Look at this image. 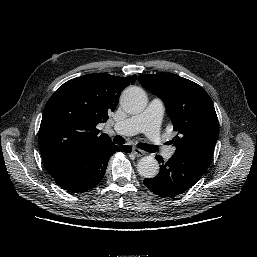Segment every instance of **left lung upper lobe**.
<instances>
[{
  "mask_svg": "<svg viewBox=\"0 0 257 257\" xmlns=\"http://www.w3.org/2000/svg\"><path fill=\"white\" fill-rule=\"evenodd\" d=\"M141 85L161 98L178 132L176 152L209 166L218 139V118L213 102L198 84L172 73L142 74Z\"/></svg>",
  "mask_w": 257,
  "mask_h": 257,
  "instance_id": "left-lung-upper-lobe-1",
  "label": "left lung upper lobe"
}]
</instances>
